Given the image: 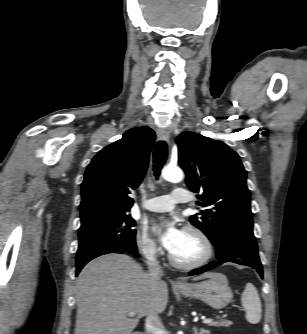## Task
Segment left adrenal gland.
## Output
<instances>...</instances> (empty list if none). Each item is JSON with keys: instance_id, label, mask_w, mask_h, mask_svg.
<instances>
[{"instance_id": "a2214340", "label": "left adrenal gland", "mask_w": 307, "mask_h": 334, "mask_svg": "<svg viewBox=\"0 0 307 334\" xmlns=\"http://www.w3.org/2000/svg\"><path fill=\"white\" fill-rule=\"evenodd\" d=\"M194 334H210L209 330L201 328L199 331L196 327L193 328Z\"/></svg>"}]
</instances>
